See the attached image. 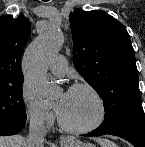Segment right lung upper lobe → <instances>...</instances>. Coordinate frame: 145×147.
<instances>
[{
  "mask_svg": "<svg viewBox=\"0 0 145 147\" xmlns=\"http://www.w3.org/2000/svg\"><path fill=\"white\" fill-rule=\"evenodd\" d=\"M30 22L24 15L0 17V84L23 78L21 56L30 36Z\"/></svg>",
  "mask_w": 145,
  "mask_h": 147,
  "instance_id": "right-lung-upper-lobe-1",
  "label": "right lung upper lobe"
}]
</instances>
